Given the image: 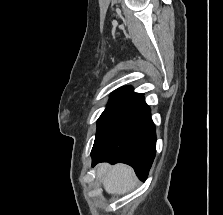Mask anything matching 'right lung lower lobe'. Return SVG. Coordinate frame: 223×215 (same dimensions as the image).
I'll return each instance as SVG.
<instances>
[{
    "label": "right lung lower lobe",
    "instance_id": "1",
    "mask_svg": "<svg viewBox=\"0 0 223 215\" xmlns=\"http://www.w3.org/2000/svg\"><path fill=\"white\" fill-rule=\"evenodd\" d=\"M155 153V125L150 109L143 101L91 153L92 166L100 162L126 163L145 181Z\"/></svg>",
    "mask_w": 223,
    "mask_h": 215
}]
</instances>
